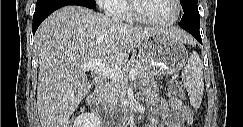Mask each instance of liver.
Instances as JSON below:
<instances>
[{
  "label": "liver",
  "instance_id": "6515ba94",
  "mask_svg": "<svg viewBox=\"0 0 243 127\" xmlns=\"http://www.w3.org/2000/svg\"><path fill=\"white\" fill-rule=\"evenodd\" d=\"M154 33H166L181 42L191 40L180 29L133 28L82 6H65L51 14L35 34L41 126L67 127L92 87L82 64L97 60L107 67L120 68Z\"/></svg>",
  "mask_w": 243,
  "mask_h": 127
}]
</instances>
